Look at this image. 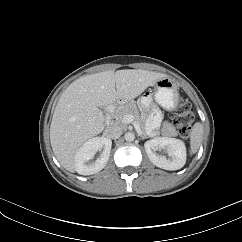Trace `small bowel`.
I'll return each mask as SVG.
<instances>
[{"label": "small bowel", "instance_id": "obj_1", "mask_svg": "<svg viewBox=\"0 0 242 242\" xmlns=\"http://www.w3.org/2000/svg\"><path fill=\"white\" fill-rule=\"evenodd\" d=\"M160 120V113L152 111L148 118V129L153 132L159 126Z\"/></svg>", "mask_w": 242, "mask_h": 242}]
</instances>
